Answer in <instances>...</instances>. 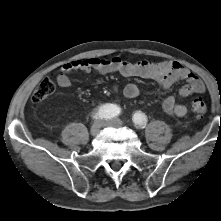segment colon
Instances as JSON below:
<instances>
[{
	"label": "colon",
	"instance_id": "5ec220e1",
	"mask_svg": "<svg viewBox=\"0 0 221 221\" xmlns=\"http://www.w3.org/2000/svg\"><path fill=\"white\" fill-rule=\"evenodd\" d=\"M55 89V84L51 78H44L40 81L36 89L32 94V101L35 103H40L47 99ZM192 110L198 116H203L206 113V105L201 98H195L192 100Z\"/></svg>",
	"mask_w": 221,
	"mask_h": 221
}]
</instances>
